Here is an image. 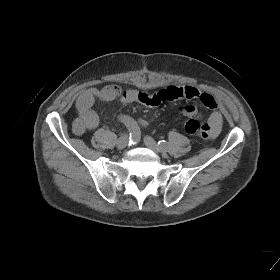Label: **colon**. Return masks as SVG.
<instances>
[{
	"label": "colon",
	"mask_w": 280,
	"mask_h": 280,
	"mask_svg": "<svg viewBox=\"0 0 280 280\" xmlns=\"http://www.w3.org/2000/svg\"><path fill=\"white\" fill-rule=\"evenodd\" d=\"M109 95L116 97L121 93L118 86H109L106 88ZM185 131L190 135H197L203 138H208L212 134V128L207 123L202 124L198 120L192 118L185 124Z\"/></svg>",
	"instance_id": "obj_1"
}]
</instances>
